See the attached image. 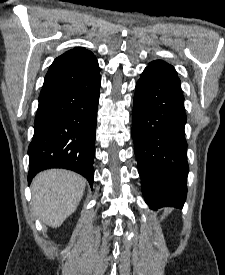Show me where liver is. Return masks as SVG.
<instances>
[{
    "mask_svg": "<svg viewBox=\"0 0 225 275\" xmlns=\"http://www.w3.org/2000/svg\"><path fill=\"white\" fill-rule=\"evenodd\" d=\"M86 180L74 172L52 169L39 173L31 184L34 211L53 228L75 212L82 199Z\"/></svg>",
    "mask_w": 225,
    "mask_h": 275,
    "instance_id": "6515ba94",
    "label": "liver"
}]
</instances>
